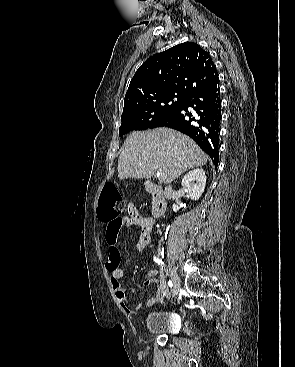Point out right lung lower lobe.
Listing matches in <instances>:
<instances>
[{
  "mask_svg": "<svg viewBox=\"0 0 295 367\" xmlns=\"http://www.w3.org/2000/svg\"><path fill=\"white\" fill-rule=\"evenodd\" d=\"M192 107V111L188 108ZM221 100L218 77L188 95L183 105L155 122L150 129L169 127L191 137L213 160L219 162Z\"/></svg>",
  "mask_w": 295,
  "mask_h": 367,
  "instance_id": "right-lung-lower-lobe-1",
  "label": "right lung lower lobe"
}]
</instances>
